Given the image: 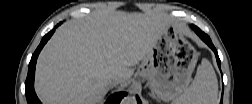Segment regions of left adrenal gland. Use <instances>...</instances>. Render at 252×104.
I'll use <instances>...</instances> for the list:
<instances>
[{
	"label": "left adrenal gland",
	"instance_id": "1",
	"mask_svg": "<svg viewBox=\"0 0 252 104\" xmlns=\"http://www.w3.org/2000/svg\"><path fill=\"white\" fill-rule=\"evenodd\" d=\"M150 96L153 97V98H156V96H155V94H154L153 91H151Z\"/></svg>",
	"mask_w": 252,
	"mask_h": 104
}]
</instances>
